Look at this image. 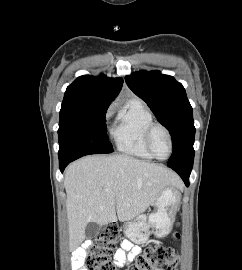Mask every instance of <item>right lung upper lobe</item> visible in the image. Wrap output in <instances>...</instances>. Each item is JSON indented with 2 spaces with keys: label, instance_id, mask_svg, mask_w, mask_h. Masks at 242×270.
Instances as JSON below:
<instances>
[{
  "label": "right lung upper lobe",
  "instance_id": "right-lung-upper-lobe-1",
  "mask_svg": "<svg viewBox=\"0 0 242 270\" xmlns=\"http://www.w3.org/2000/svg\"><path fill=\"white\" fill-rule=\"evenodd\" d=\"M122 84V78L80 76L67 87L61 109L106 108L119 94Z\"/></svg>",
  "mask_w": 242,
  "mask_h": 270
}]
</instances>
